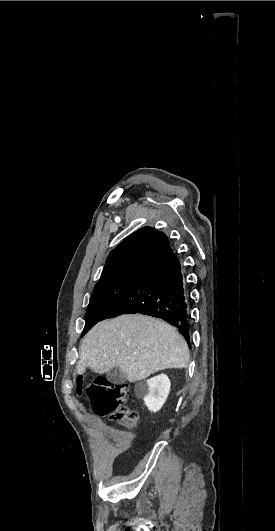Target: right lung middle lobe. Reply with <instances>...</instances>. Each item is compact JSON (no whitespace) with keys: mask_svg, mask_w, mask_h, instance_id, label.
<instances>
[{"mask_svg":"<svg viewBox=\"0 0 275 531\" xmlns=\"http://www.w3.org/2000/svg\"><path fill=\"white\" fill-rule=\"evenodd\" d=\"M144 269L145 267L129 268L100 278L90 298L81 336L102 320L104 313L139 278Z\"/></svg>","mask_w":275,"mask_h":531,"instance_id":"dd1d6c3e","label":"right lung middle lobe"}]
</instances>
